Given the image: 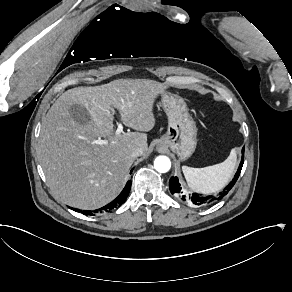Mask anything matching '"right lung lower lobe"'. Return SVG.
Wrapping results in <instances>:
<instances>
[{"instance_id": "obj_1", "label": "right lung lower lobe", "mask_w": 292, "mask_h": 292, "mask_svg": "<svg viewBox=\"0 0 292 292\" xmlns=\"http://www.w3.org/2000/svg\"><path fill=\"white\" fill-rule=\"evenodd\" d=\"M130 188H131V181H128L123 189V191L120 193V195L114 199L112 202H110L109 204H107L106 206L102 207L99 210H95V211H89V210H84L83 214L85 215H94L95 212L98 211H111L112 209L119 207L122 203L125 202V200L128 197V194L130 192ZM74 211H80L78 209L72 208Z\"/></svg>"}]
</instances>
